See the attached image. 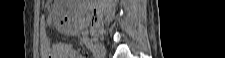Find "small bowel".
<instances>
[{
	"instance_id": "1",
	"label": "small bowel",
	"mask_w": 225,
	"mask_h": 58,
	"mask_svg": "<svg viewBox=\"0 0 225 58\" xmlns=\"http://www.w3.org/2000/svg\"><path fill=\"white\" fill-rule=\"evenodd\" d=\"M51 5L54 6L55 2H51ZM54 19L52 16L46 18V23L51 25ZM69 34H75L77 32L76 27H69L67 29ZM74 47L72 44L67 42H59L50 47L49 44L45 45L44 52L46 53V58H74Z\"/></svg>"
}]
</instances>
